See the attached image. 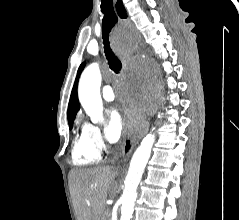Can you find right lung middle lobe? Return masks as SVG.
<instances>
[{
	"instance_id": "dd1d6c3e",
	"label": "right lung middle lobe",
	"mask_w": 239,
	"mask_h": 220,
	"mask_svg": "<svg viewBox=\"0 0 239 220\" xmlns=\"http://www.w3.org/2000/svg\"><path fill=\"white\" fill-rule=\"evenodd\" d=\"M73 121H74V119L73 120H71V121H68V123H69V128L71 129L72 128V126H73Z\"/></svg>"
}]
</instances>
